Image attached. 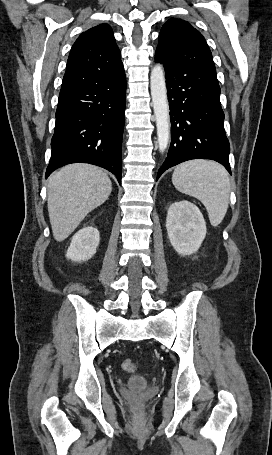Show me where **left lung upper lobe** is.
Segmentation results:
<instances>
[{"mask_svg":"<svg viewBox=\"0 0 272 455\" xmlns=\"http://www.w3.org/2000/svg\"><path fill=\"white\" fill-rule=\"evenodd\" d=\"M155 56L170 69L192 66L216 71L204 37L181 19L172 18L163 25Z\"/></svg>","mask_w":272,"mask_h":455,"instance_id":"left-lung-upper-lobe-1","label":"left lung upper lobe"}]
</instances>
